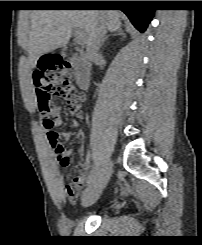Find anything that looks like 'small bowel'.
Wrapping results in <instances>:
<instances>
[{
  "instance_id": "small-bowel-1",
  "label": "small bowel",
  "mask_w": 202,
  "mask_h": 245,
  "mask_svg": "<svg viewBox=\"0 0 202 245\" xmlns=\"http://www.w3.org/2000/svg\"><path fill=\"white\" fill-rule=\"evenodd\" d=\"M51 114L54 118L53 124L48 127L44 126L46 130V135H47V140L48 135L50 132H56L58 134V137H62L65 140H69L72 137V134L68 131H65L61 134H59L56 129L62 125V119L60 116V109L58 107H53ZM55 164L57 167L63 169L68 167L70 163V157L73 153L72 150H61V151H55ZM93 175V170L91 169V152L88 151L85 156L83 168L80 171V174L76 176L75 178L72 179L71 183L65 185L64 191L66 195L70 198L73 199L80 188L85 184V182ZM60 178L66 182L70 179V173L66 171H60L59 173ZM70 187H72V190H70Z\"/></svg>"
}]
</instances>
